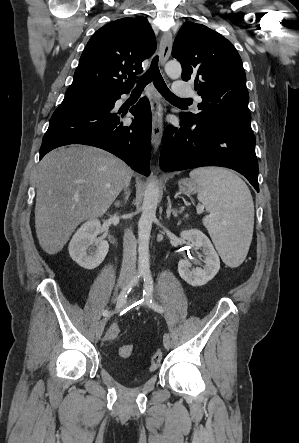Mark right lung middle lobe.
<instances>
[{
  "label": "right lung middle lobe",
  "mask_w": 299,
  "mask_h": 443,
  "mask_svg": "<svg viewBox=\"0 0 299 443\" xmlns=\"http://www.w3.org/2000/svg\"><path fill=\"white\" fill-rule=\"evenodd\" d=\"M113 93L90 88L69 87L64 100L92 101L101 104L113 102Z\"/></svg>",
  "instance_id": "1"
}]
</instances>
